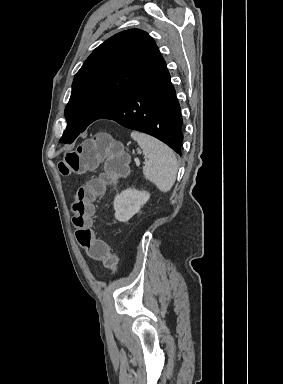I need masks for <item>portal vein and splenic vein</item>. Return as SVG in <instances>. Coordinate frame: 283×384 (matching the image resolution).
Segmentation results:
<instances>
[{
  "label": "portal vein and splenic vein",
  "mask_w": 283,
  "mask_h": 384,
  "mask_svg": "<svg viewBox=\"0 0 283 384\" xmlns=\"http://www.w3.org/2000/svg\"><path fill=\"white\" fill-rule=\"evenodd\" d=\"M135 162H136V166H140V162L139 160H137V158H135Z\"/></svg>",
  "instance_id": "obj_1"
}]
</instances>
